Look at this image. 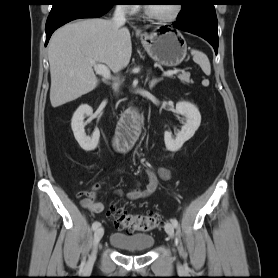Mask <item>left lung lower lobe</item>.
Segmentation results:
<instances>
[{
    "instance_id": "0a47b994",
    "label": "left lung lower lobe",
    "mask_w": 278,
    "mask_h": 278,
    "mask_svg": "<svg viewBox=\"0 0 278 278\" xmlns=\"http://www.w3.org/2000/svg\"><path fill=\"white\" fill-rule=\"evenodd\" d=\"M176 29L190 32L207 40L218 52V22L216 13L207 7H197L186 15H178ZM163 29V28H162Z\"/></svg>"
}]
</instances>
